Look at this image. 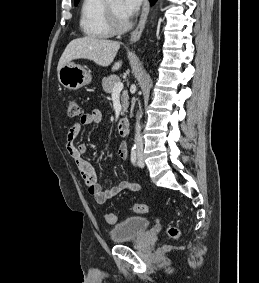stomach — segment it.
Instances as JSON below:
<instances>
[{
	"mask_svg": "<svg viewBox=\"0 0 259 283\" xmlns=\"http://www.w3.org/2000/svg\"><path fill=\"white\" fill-rule=\"evenodd\" d=\"M58 80L65 88L77 90L91 82V74L82 66L68 62L58 71Z\"/></svg>",
	"mask_w": 259,
	"mask_h": 283,
	"instance_id": "obj_1",
	"label": "stomach"
}]
</instances>
